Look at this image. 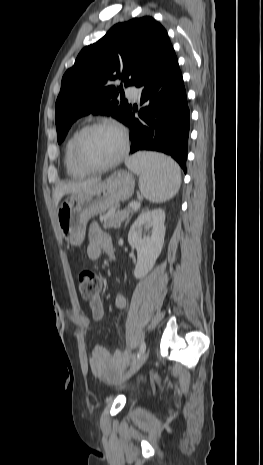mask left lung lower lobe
I'll use <instances>...</instances> for the list:
<instances>
[{
  "label": "left lung lower lobe",
  "instance_id": "1",
  "mask_svg": "<svg viewBox=\"0 0 263 465\" xmlns=\"http://www.w3.org/2000/svg\"><path fill=\"white\" fill-rule=\"evenodd\" d=\"M134 86L141 88L140 103L146 106L138 112L139 118L130 110L124 121L131 131V153L138 150L163 152L186 172L190 113L182 74L170 42Z\"/></svg>",
  "mask_w": 263,
  "mask_h": 465
}]
</instances>
